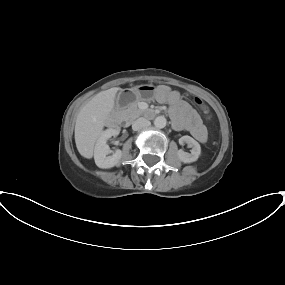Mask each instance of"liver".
Instances as JSON below:
<instances>
[{
    "label": "liver",
    "mask_w": 285,
    "mask_h": 285,
    "mask_svg": "<svg viewBox=\"0 0 285 285\" xmlns=\"http://www.w3.org/2000/svg\"><path fill=\"white\" fill-rule=\"evenodd\" d=\"M119 88L114 87L96 94L77 115L75 143L81 156L93 157L94 145L114 107V98Z\"/></svg>",
    "instance_id": "1"
}]
</instances>
